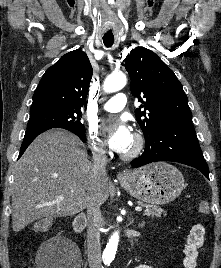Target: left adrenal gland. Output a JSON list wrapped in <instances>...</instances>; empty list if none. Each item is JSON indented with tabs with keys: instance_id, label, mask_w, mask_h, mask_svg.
Listing matches in <instances>:
<instances>
[{
	"instance_id": "a2214340",
	"label": "left adrenal gland",
	"mask_w": 221,
	"mask_h": 268,
	"mask_svg": "<svg viewBox=\"0 0 221 268\" xmlns=\"http://www.w3.org/2000/svg\"><path fill=\"white\" fill-rule=\"evenodd\" d=\"M132 222H133V221H132ZM144 224H145V222H144V221H142L141 223H139V225H138V226L142 228V227L144 226Z\"/></svg>"
}]
</instances>
